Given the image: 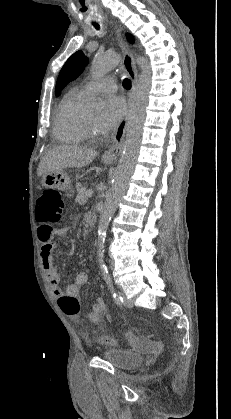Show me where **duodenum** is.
Listing matches in <instances>:
<instances>
[{
  "label": "duodenum",
  "mask_w": 231,
  "mask_h": 419,
  "mask_svg": "<svg viewBox=\"0 0 231 419\" xmlns=\"http://www.w3.org/2000/svg\"><path fill=\"white\" fill-rule=\"evenodd\" d=\"M86 222L89 226H94L96 224V217L94 215H89L86 217Z\"/></svg>",
  "instance_id": "410a0bca"
}]
</instances>
